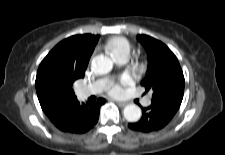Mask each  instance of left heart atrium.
I'll list each match as a JSON object with an SVG mask.
<instances>
[{
  "label": "left heart atrium",
  "mask_w": 225,
  "mask_h": 155,
  "mask_svg": "<svg viewBox=\"0 0 225 155\" xmlns=\"http://www.w3.org/2000/svg\"><path fill=\"white\" fill-rule=\"evenodd\" d=\"M132 83V78L129 75H124L120 80L112 84L109 88V92L112 95H120L122 93V87L130 85Z\"/></svg>",
  "instance_id": "39dd6f15"
}]
</instances>
